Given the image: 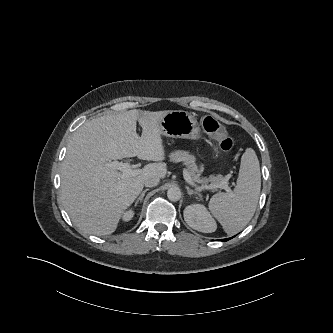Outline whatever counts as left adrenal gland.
Segmentation results:
<instances>
[{
	"mask_svg": "<svg viewBox=\"0 0 333 333\" xmlns=\"http://www.w3.org/2000/svg\"><path fill=\"white\" fill-rule=\"evenodd\" d=\"M186 190H187L188 195L196 194V195L200 196V193H198L197 191L191 190L188 186H186Z\"/></svg>",
	"mask_w": 333,
	"mask_h": 333,
	"instance_id": "1",
	"label": "left adrenal gland"
}]
</instances>
